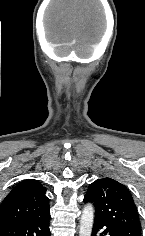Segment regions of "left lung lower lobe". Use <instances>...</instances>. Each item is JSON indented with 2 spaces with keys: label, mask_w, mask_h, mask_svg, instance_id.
<instances>
[{
  "label": "left lung lower lobe",
  "mask_w": 145,
  "mask_h": 236,
  "mask_svg": "<svg viewBox=\"0 0 145 236\" xmlns=\"http://www.w3.org/2000/svg\"><path fill=\"white\" fill-rule=\"evenodd\" d=\"M106 226L105 223L97 218H95L94 220V225H93V229H92V236H104L107 233L110 236H117L109 227H107L104 231L102 230V228Z\"/></svg>",
  "instance_id": "1"
}]
</instances>
